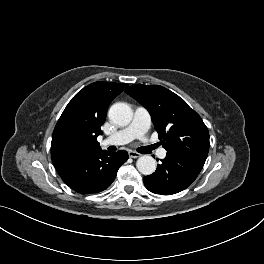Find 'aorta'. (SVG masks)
Masks as SVG:
<instances>
[{
	"instance_id": "762f6f07",
	"label": "aorta",
	"mask_w": 264,
	"mask_h": 264,
	"mask_svg": "<svg viewBox=\"0 0 264 264\" xmlns=\"http://www.w3.org/2000/svg\"><path fill=\"white\" fill-rule=\"evenodd\" d=\"M108 117L115 125L127 126L132 120L133 112L129 105L118 102L110 107ZM136 166L141 174L150 175L156 170V161L149 155H143L137 160Z\"/></svg>"
}]
</instances>
